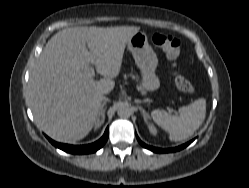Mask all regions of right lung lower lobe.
I'll return each mask as SVG.
<instances>
[{
	"mask_svg": "<svg viewBox=\"0 0 249 188\" xmlns=\"http://www.w3.org/2000/svg\"><path fill=\"white\" fill-rule=\"evenodd\" d=\"M108 139V128L106 129L104 135L96 142L88 145H68V144H61L57 143L50 138L48 140L57 148L62 149L65 152L72 153V154H88L93 153L99 150L107 141Z\"/></svg>",
	"mask_w": 249,
	"mask_h": 188,
	"instance_id": "right-lung-lower-lobe-1",
	"label": "right lung lower lobe"
}]
</instances>
